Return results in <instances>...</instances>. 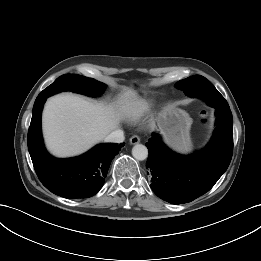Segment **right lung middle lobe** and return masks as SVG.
Listing matches in <instances>:
<instances>
[{"label":"right lung middle lobe","instance_id":"1","mask_svg":"<svg viewBox=\"0 0 261 261\" xmlns=\"http://www.w3.org/2000/svg\"><path fill=\"white\" fill-rule=\"evenodd\" d=\"M105 84L91 78L76 74H65L57 78L40 95L51 96L55 93L70 90L88 96H98L105 88Z\"/></svg>","mask_w":261,"mask_h":261}]
</instances>
